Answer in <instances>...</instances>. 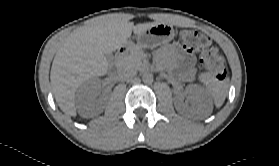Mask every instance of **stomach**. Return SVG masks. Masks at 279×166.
Masks as SVG:
<instances>
[{"label": "stomach", "instance_id": "0dacf381", "mask_svg": "<svg viewBox=\"0 0 279 166\" xmlns=\"http://www.w3.org/2000/svg\"><path fill=\"white\" fill-rule=\"evenodd\" d=\"M175 36L174 29L167 24L157 23L137 35V43L145 48H153L170 42Z\"/></svg>", "mask_w": 279, "mask_h": 166}]
</instances>
